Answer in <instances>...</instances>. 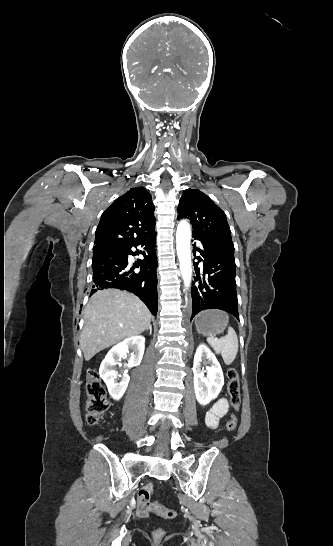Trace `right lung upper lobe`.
I'll use <instances>...</instances> for the list:
<instances>
[{"label":"right lung upper lobe","mask_w":333,"mask_h":546,"mask_svg":"<svg viewBox=\"0 0 333 546\" xmlns=\"http://www.w3.org/2000/svg\"><path fill=\"white\" fill-rule=\"evenodd\" d=\"M154 205L143 187L130 189L102 214L94 244L111 239H134L154 231Z\"/></svg>","instance_id":"cb5924a9"}]
</instances>
